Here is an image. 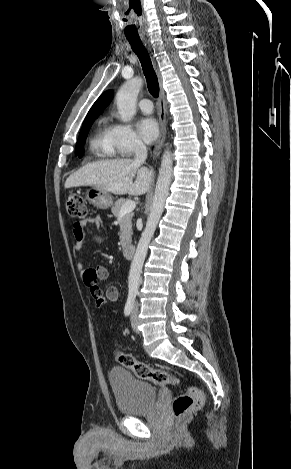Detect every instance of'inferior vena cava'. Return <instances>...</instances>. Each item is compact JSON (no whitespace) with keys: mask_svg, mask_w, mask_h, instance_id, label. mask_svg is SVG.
Here are the masks:
<instances>
[{"mask_svg":"<svg viewBox=\"0 0 291 469\" xmlns=\"http://www.w3.org/2000/svg\"><path fill=\"white\" fill-rule=\"evenodd\" d=\"M135 161L138 163H143L147 158V148L142 140H136L135 144Z\"/></svg>","mask_w":291,"mask_h":469,"instance_id":"602c4592","label":"inferior vena cava"}]
</instances>
